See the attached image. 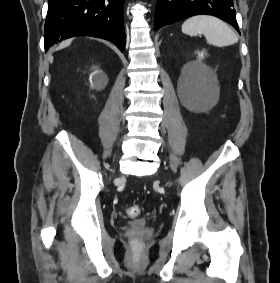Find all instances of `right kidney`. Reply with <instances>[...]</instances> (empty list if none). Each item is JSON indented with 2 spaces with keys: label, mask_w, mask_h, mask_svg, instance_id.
I'll list each match as a JSON object with an SVG mask.
<instances>
[{
  "label": "right kidney",
  "mask_w": 280,
  "mask_h": 283,
  "mask_svg": "<svg viewBox=\"0 0 280 283\" xmlns=\"http://www.w3.org/2000/svg\"><path fill=\"white\" fill-rule=\"evenodd\" d=\"M89 80L92 86L94 84L104 86L107 83V77L103 73H100L98 71L93 72L90 75Z\"/></svg>",
  "instance_id": "obj_1"
}]
</instances>
